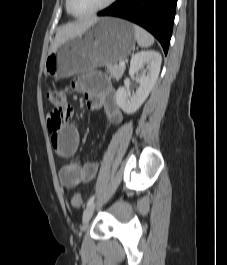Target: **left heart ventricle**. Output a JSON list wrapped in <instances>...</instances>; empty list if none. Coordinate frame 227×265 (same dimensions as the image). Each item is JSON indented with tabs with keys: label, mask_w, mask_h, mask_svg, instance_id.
I'll use <instances>...</instances> for the list:
<instances>
[{
	"label": "left heart ventricle",
	"mask_w": 227,
	"mask_h": 265,
	"mask_svg": "<svg viewBox=\"0 0 227 265\" xmlns=\"http://www.w3.org/2000/svg\"><path fill=\"white\" fill-rule=\"evenodd\" d=\"M105 1L106 0H71V7L76 13H86L97 8Z\"/></svg>",
	"instance_id": "left-heart-ventricle-1"
}]
</instances>
